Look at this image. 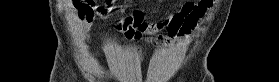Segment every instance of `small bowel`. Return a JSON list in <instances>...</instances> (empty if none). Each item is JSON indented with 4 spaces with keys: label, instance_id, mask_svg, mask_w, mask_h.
Listing matches in <instances>:
<instances>
[{
    "label": "small bowel",
    "instance_id": "small-bowel-1",
    "mask_svg": "<svg viewBox=\"0 0 279 82\" xmlns=\"http://www.w3.org/2000/svg\"><path fill=\"white\" fill-rule=\"evenodd\" d=\"M211 1H200L198 3H187L179 12L169 13L164 20L156 24V28L165 29L167 31L166 37L159 36L157 41L159 44H167L171 39L176 37H185L191 30L193 25L203 18L207 9L211 6ZM73 7L78 11V19L81 28L84 32H87L91 26V23L98 15L101 18H107L111 15L112 10L115 7V2L108 0L102 8L95 7L94 4H84L80 6L77 2H73ZM115 27L122 31L126 39H140L142 34L150 28V26L142 22L140 27L134 30L130 25L124 23V20L117 19ZM106 48L112 50L113 46L107 44ZM101 55L100 51L95 52Z\"/></svg>",
    "mask_w": 279,
    "mask_h": 82
}]
</instances>
